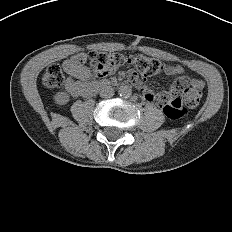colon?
Returning a JSON list of instances; mask_svg holds the SVG:
<instances>
[{
	"instance_id": "colon-1",
	"label": "colon",
	"mask_w": 232,
	"mask_h": 232,
	"mask_svg": "<svg viewBox=\"0 0 232 232\" xmlns=\"http://www.w3.org/2000/svg\"><path fill=\"white\" fill-rule=\"evenodd\" d=\"M86 61L98 76L109 75L124 64L134 66L145 77L158 75L166 68L159 60L142 55L126 57L119 53L92 52L88 59L82 56L75 58V62L80 65ZM64 70L65 67L59 64L49 66L44 73L43 84L50 88L63 85L66 81ZM201 94L200 88L193 87L188 78L183 77L174 82L169 93L158 94L156 103L168 118L178 119L186 115L188 109L199 104Z\"/></svg>"
}]
</instances>
